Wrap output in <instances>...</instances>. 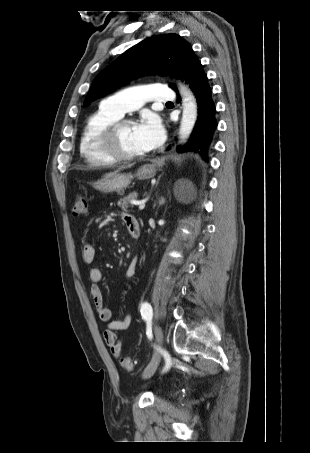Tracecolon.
I'll return each instance as SVG.
<instances>
[{"label": "colon", "mask_w": 310, "mask_h": 453, "mask_svg": "<svg viewBox=\"0 0 310 453\" xmlns=\"http://www.w3.org/2000/svg\"><path fill=\"white\" fill-rule=\"evenodd\" d=\"M87 200L83 196H78L73 204V214L81 215L87 211ZM120 364L122 368L126 371H132L135 367V362L131 357H121Z\"/></svg>", "instance_id": "obj_1"}]
</instances>
